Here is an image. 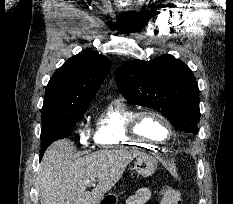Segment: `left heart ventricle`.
I'll return each instance as SVG.
<instances>
[{
  "mask_svg": "<svg viewBox=\"0 0 233 204\" xmlns=\"http://www.w3.org/2000/svg\"><path fill=\"white\" fill-rule=\"evenodd\" d=\"M139 131L154 140H164L168 135L166 125L154 116H144L139 122Z\"/></svg>",
  "mask_w": 233,
  "mask_h": 204,
  "instance_id": "b2bd125f",
  "label": "left heart ventricle"
}]
</instances>
